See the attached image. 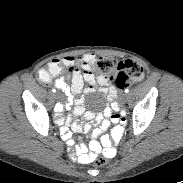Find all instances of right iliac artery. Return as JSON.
<instances>
[{
	"instance_id": "1",
	"label": "right iliac artery",
	"mask_w": 183,
	"mask_h": 183,
	"mask_svg": "<svg viewBox=\"0 0 183 183\" xmlns=\"http://www.w3.org/2000/svg\"><path fill=\"white\" fill-rule=\"evenodd\" d=\"M52 92H56V90L55 89H52ZM59 109V104H56V106H55V111H57Z\"/></svg>"
}]
</instances>
